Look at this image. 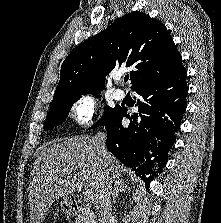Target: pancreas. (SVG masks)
<instances>
[{"mask_svg":"<svg viewBox=\"0 0 221 223\" xmlns=\"http://www.w3.org/2000/svg\"><path fill=\"white\" fill-rule=\"evenodd\" d=\"M75 223H97L96 216L91 210V206L89 204H86L83 207L81 214L76 217Z\"/></svg>","mask_w":221,"mask_h":223,"instance_id":"pancreas-1","label":"pancreas"}]
</instances>
